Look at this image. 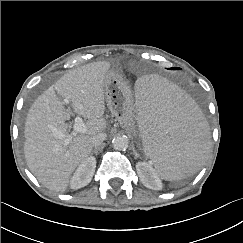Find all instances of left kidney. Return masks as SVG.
<instances>
[{"mask_svg":"<svg viewBox=\"0 0 243 243\" xmlns=\"http://www.w3.org/2000/svg\"><path fill=\"white\" fill-rule=\"evenodd\" d=\"M136 169L141 182L147 188L153 190H160L162 188V182L150 164L138 162L136 164Z\"/></svg>","mask_w":243,"mask_h":243,"instance_id":"5707ae66","label":"left kidney"}]
</instances>
